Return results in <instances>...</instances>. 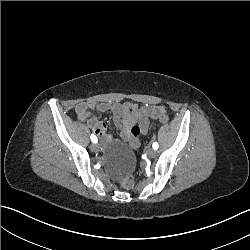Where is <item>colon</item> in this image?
Returning a JSON list of instances; mask_svg holds the SVG:
<instances>
[{"mask_svg":"<svg viewBox=\"0 0 250 250\" xmlns=\"http://www.w3.org/2000/svg\"><path fill=\"white\" fill-rule=\"evenodd\" d=\"M149 113L153 115H157L159 117V121L163 124H166L169 121L168 113L161 107L153 106L149 108ZM132 142L130 146L138 151L141 148L142 142L139 140L140 128L138 125L131 126ZM134 174H129L125 176L121 182L119 183V188L125 191H134L138 188V183L134 182L135 180Z\"/></svg>","mask_w":250,"mask_h":250,"instance_id":"1","label":"colon"}]
</instances>
